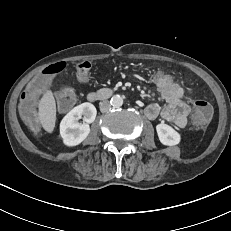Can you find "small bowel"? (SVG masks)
Instances as JSON below:
<instances>
[{
	"instance_id": "small-bowel-1",
	"label": "small bowel",
	"mask_w": 231,
	"mask_h": 231,
	"mask_svg": "<svg viewBox=\"0 0 231 231\" xmlns=\"http://www.w3.org/2000/svg\"><path fill=\"white\" fill-rule=\"evenodd\" d=\"M154 83L164 100V105L161 106L158 103L149 104L145 108L146 117L150 120L161 117L175 127H185L190 113V106L183 100V97L190 90L185 91L182 87L173 86L172 83H162L160 81H154Z\"/></svg>"
}]
</instances>
